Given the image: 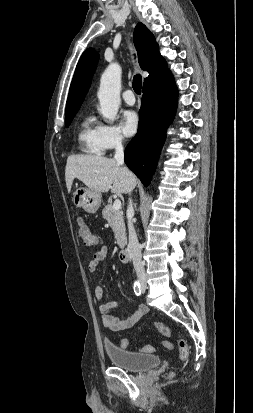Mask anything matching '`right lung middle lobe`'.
<instances>
[{"label":"right lung middle lobe","instance_id":"1","mask_svg":"<svg viewBox=\"0 0 253 413\" xmlns=\"http://www.w3.org/2000/svg\"><path fill=\"white\" fill-rule=\"evenodd\" d=\"M74 115H75V114L70 115V116H66V117H65V124H66V127H68V126L70 125L71 121H72V120H73V118H74Z\"/></svg>","mask_w":253,"mask_h":413}]
</instances>
